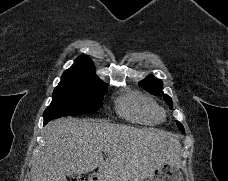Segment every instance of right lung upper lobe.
<instances>
[{
	"label": "right lung upper lobe",
	"mask_w": 228,
	"mask_h": 181,
	"mask_svg": "<svg viewBox=\"0 0 228 181\" xmlns=\"http://www.w3.org/2000/svg\"><path fill=\"white\" fill-rule=\"evenodd\" d=\"M93 82H102V80L95 74L93 62L89 58L81 56L76 59L71 68L63 73L59 84L80 85Z\"/></svg>",
	"instance_id": "1"
}]
</instances>
